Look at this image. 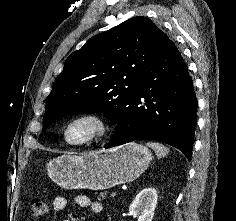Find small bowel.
I'll return each mask as SVG.
<instances>
[{
    "label": "small bowel",
    "instance_id": "obj_1",
    "mask_svg": "<svg viewBox=\"0 0 236 221\" xmlns=\"http://www.w3.org/2000/svg\"><path fill=\"white\" fill-rule=\"evenodd\" d=\"M75 203L78 207L89 208L90 211L95 215H99L103 211V206L99 201H91L84 195L77 196ZM66 206L67 200L65 197L57 196L52 200V209L56 212L63 211Z\"/></svg>",
    "mask_w": 236,
    "mask_h": 221
}]
</instances>
